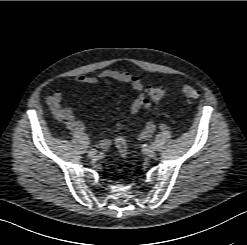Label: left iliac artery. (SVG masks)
<instances>
[{
	"label": "left iliac artery",
	"instance_id": "44dca946",
	"mask_svg": "<svg viewBox=\"0 0 247 245\" xmlns=\"http://www.w3.org/2000/svg\"><path fill=\"white\" fill-rule=\"evenodd\" d=\"M160 128H161L162 130H165V129H166V125L162 124Z\"/></svg>",
	"mask_w": 247,
	"mask_h": 245
}]
</instances>
